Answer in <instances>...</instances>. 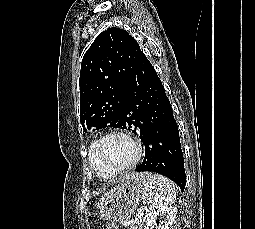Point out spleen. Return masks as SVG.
Returning a JSON list of instances; mask_svg holds the SVG:
<instances>
[{
    "instance_id": "3e777b00",
    "label": "spleen",
    "mask_w": 255,
    "mask_h": 229,
    "mask_svg": "<svg viewBox=\"0 0 255 229\" xmlns=\"http://www.w3.org/2000/svg\"><path fill=\"white\" fill-rule=\"evenodd\" d=\"M154 180L158 187L155 188L150 196L148 204L153 208L165 207L173 204L176 199L174 183L160 174H154Z\"/></svg>"
}]
</instances>
